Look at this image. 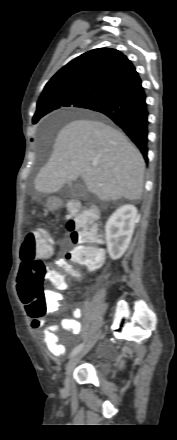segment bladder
<instances>
[{"instance_id":"1","label":"bladder","mask_w":177,"mask_h":440,"mask_svg":"<svg viewBox=\"0 0 177 440\" xmlns=\"http://www.w3.org/2000/svg\"><path fill=\"white\" fill-rule=\"evenodd\" d=\"M96 365L98 366V369L102 374H105L107 372V367L105 366V360L97 359Z\"/></svg>"}]
</instances>
